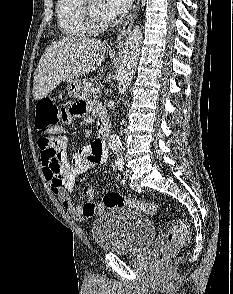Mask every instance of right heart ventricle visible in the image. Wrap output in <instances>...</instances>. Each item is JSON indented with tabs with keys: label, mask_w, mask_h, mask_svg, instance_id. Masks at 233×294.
Instances as JSON below:
<instances>
[{
	"label": "right heart ventricle",
	"mask_w": 233,
	"mask_h": 294,
	"mask_svg": "<svg viewBox=\"0 0 233 294\" xmlns=\"http://www.w3.org/2000/svg\"><path fill=\"white\" fill-rule=\"evenodd\" d=\"M86 0H59L57 20L62 33L70 38H85L93 34L85 18Z\"/></svg>",
	"instance_id": "e07e8e85"
}]
</instances>
